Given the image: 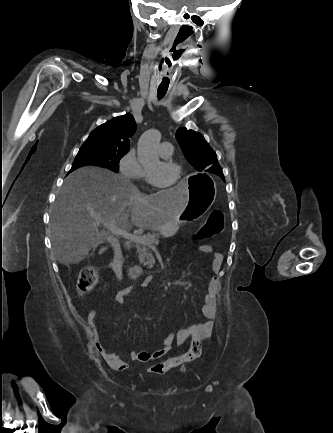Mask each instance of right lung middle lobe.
I'll return each mask as SVG.
<instances>
[{"instance_id": "obj_1", "label": "right lung middle lobe", "mask_w": 333, "mask_h": 433, "mask_svg": "<svg viewBox=\"0 0 333 433\" xmlns=\"http://www.w3.org/2000/svg\"><path fill=\"white\" fill-rule=\"evenodd\" d=\"M127 152L128 150H118L115 148L84 143L80 148L72 167L99 165L117 172L119 161Z\"/></svg>"}]
</instances>
